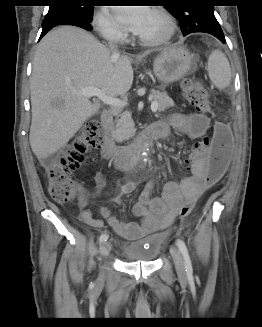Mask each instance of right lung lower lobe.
I'll return each mask as SVG.
<instances>
[{"label":"right lung lower lobe","instance_id":"1","mask_svg":"<svg viewBox=\"0 0 262 327\" xmlns=\"http://www.w3.org/2000/svg\"><path fill=\"white\" fill-rule=\"evenodd\" d=\"M91 20H86L84 18L75 15H58L50 18H45L42 22V33L39 40L53 27L58 25H73L81 27L85 30L91 31L93 28L91 26Z\"/></svg>","mask_w":262,"mask_h":327}]
</instances>
